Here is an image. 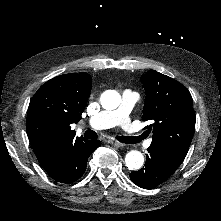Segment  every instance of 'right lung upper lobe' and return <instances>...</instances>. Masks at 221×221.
<instances>
[{"label":"right lung upper lobe","mask_w":221,"mask_h":221,"mask_svg":"<svg viewBox=\"0 0 221 221\" xmlns=\"http://www.w3.org/2000/svg\"><path fill=\"white\" fill-rule=\"evenodd\" d=\"M92 78L87 73L57 76L44 83L28 107L27 134L41 166L47 167L64 150L84 140L71 124L81 119Z\"/></svg>","instance_id":"cb5924a9"}]
</instances>
